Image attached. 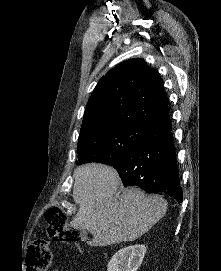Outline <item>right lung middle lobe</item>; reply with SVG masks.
I'll return each mask as SVG.
<instances>
[{"mask_svg": "<svg viewBox=\"0 0 221 271\" xmlns=\"http://www.w3.org/2000/svg\"><path fill=\"white\" fill-rule=\"evenodd\" d=\"M145 131L132 126H109L80 136L76 164L99 162L112 165L139 143Z\"/></svg>", "mask_w": 221, "mask_h": 271, "instance_id": "dd1d6c3e", "label": "right lung middle lobe"}]
</instances>
